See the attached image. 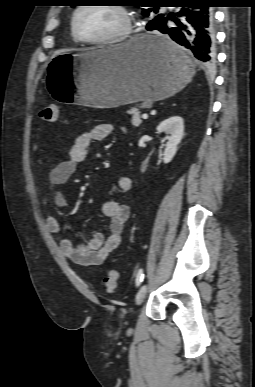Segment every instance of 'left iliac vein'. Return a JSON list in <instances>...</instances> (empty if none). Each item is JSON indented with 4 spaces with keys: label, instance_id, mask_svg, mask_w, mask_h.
Instances as JSON below:
<instances>
[{
    "label": "left iliac vein",
    "instance_id": "4c4485c4",
    "mask_svg": "<svg viewBox=\"0 0 255 387\" xmlns=\"http://www.w3.org/2000/svg\"><path fill=\"white\" fill-rule=\"evenodd\" d=\"M147 288L148 287H147L146 284L142 285L139 288V290H138V292L136 294V304L137 305H140L144 301L146 293H147Z\"/></svg>",
    "mask_w": 255,
    "mask_h": 387
}]
</instances>
